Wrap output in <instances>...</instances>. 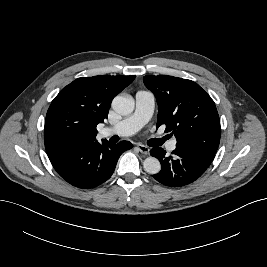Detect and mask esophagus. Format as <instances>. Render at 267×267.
I'll return each mask as SVG.
<instances>
[{"instance_id":"esophagus-1","label":"esophagus","mask_w":267,"mask_h":267,"mask_svg":"<svg viewBox=\"0 0 267 267\" xmlns=\"http://www.w3.org/2000/svg\"><path fill=\"white\" fill-rule=\"evenodd\" d=\"M137 148L139 149V151L143 154V155H148L149 154V148L145 145L142 144H138Z\"/></svg>"}]
</instances>
